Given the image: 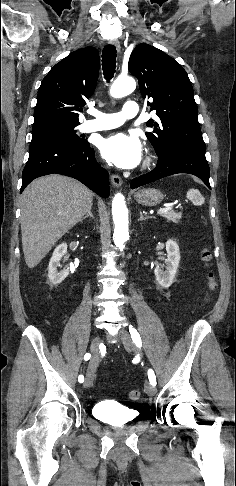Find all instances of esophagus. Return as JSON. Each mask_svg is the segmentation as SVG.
<instances>
[{
    "mask_svg": "<svg viewBox=\"0 0 236 486\" xmlns=\"http://www.w3.org/2000/svg\"><path fill=\"white\" fill-rule=\"evenodd\" d=\"M110 44H112L113 46H115L116 47V50L118 52H120L121 46H120V43H119L118 40H113V41L110 42ZM111 182L117 188H119L122 185V183H123L121 177L118 176V175H116V174H112L111 175Z\"/></svg>",
    "mask_w": 236,
    "mask_h": 486,
    "instance_id": "obj_1",
    "label": "esophagus"
}]
</instances>
